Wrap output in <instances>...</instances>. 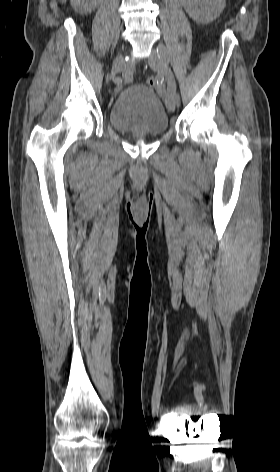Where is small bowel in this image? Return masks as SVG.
<instances>
[{
  "mask_svg": "<svg viewBox=\"0 0 280 472\" xmlns=\"http://www.w3.org/2000/svg\"><path fill=\"white\" fill-rule=\"evenodd\" d=\"M158 91L161 95H163L165 92L163 87H159Z\"/></svg>",
  "mask_w": 280,
  "mask_h": 472,
  "instance_id": "obj_1",
  "label": "small bowel"
}]
</instances>
